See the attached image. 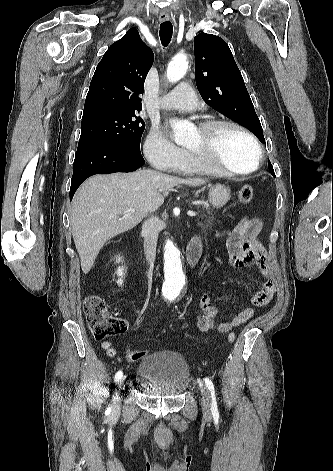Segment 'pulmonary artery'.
Returning a JSON list of instances; mask_svg holds the SVG:
<instances>
[{
	"label": "pulmonary artery",
	"mask_w": 333,
	"mask_h": 471,
	"mask_svg": "<svg viewBox=\"0 0 333 471\" xmlns=\"http://www.w3.org/2000/svg\"><path fill=\"white\" fill-rule=\"evenodd\" d=\"M159 105L162 109L191 112L197 107V97L189 84L181 83L171 92L161 97Z\"/></svg>",
	"instance_id": "e3ab8cb5"
}]
</instances>
